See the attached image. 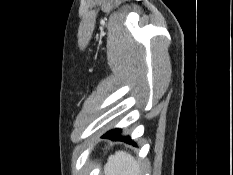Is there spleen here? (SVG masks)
Masks as SVG:
<instances>
[{
    "instance_id": "obj_1",
    "label": "spleen",
    "mask_w": 233,
    "mask_h": 175,
    "mask_svg": "<svg viewBox=\"0 0 233 175\" xmlns=\"http://www.w3.org/2000/svg\"><path fill=\"white\" fill-rule=\"evenodd\" d=\"M105 175H141L139 163L129 154L118 151L108 158Z\"/></svg>"
}]
</instances>
